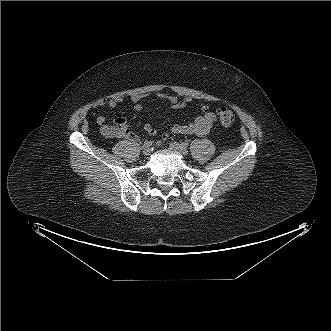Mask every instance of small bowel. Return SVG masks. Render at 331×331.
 I'll return each mask as SVG.
<instances>
[{
  "label": "small bowel",
  "mask_w": 331,
  "mask_h": 331,
  "mask_svg": "<svg viewBox=\"0 0 331 331\" xmlns=\"http://www.w3.org/2000/svg\"><path fill=\"white\" fill-rule=\"evenodd\" d=\"M148 97H150V94L148 93H136L130 97L131 102L134 103L135 111L141 112L143 110L141 101ZM157 98L168 102L170 107L173 109H183L192 101L191 97L179 98L177 95L173 94H158ZM122 102L123 99L121 97L99 99L96 102V107L100 108L107 106L109 108H115ZM200 110L202 114L197 116L193 122L188 124L172 125L167 133L162 134L160 139L157 141V144H162L167 139L169 134H189L196 136L206 135L215 123L216 117L206 104H201ZM96 123L100 126L101 133L106 137L124 138L133 142L139 141L138 135L131 131L125 117L123 116L116 117L112 124H106L104 116L96 115ZM144 130L151 136H155L157 134V130L149 123L144 125Z\"/></svg>",
  "instance_id": "1"
}]
</instances>
